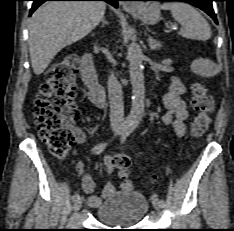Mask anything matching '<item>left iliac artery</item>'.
<instances>
[{
  "label": "left iliac artery",
  "mask_w": 234,
  "mask_h": 231,
  "mask_svg": "<svg viewBox=\"0 0 234 231\" xmlns=\"http://www.w3.org/2000/svg\"><path fill=\"white\" fill-rule=\"evenodd\" d=\"M139 121L135 120L133 121L132 125L130 126V128L128 129V131L122 136L120 142L123 143L126 138L135 130V128L138 126ZM159 204L161 207L165 206V201L163 199L159 200Z\"/></svg>",
  "instance_id": "44dca946"
}]
</instances>
